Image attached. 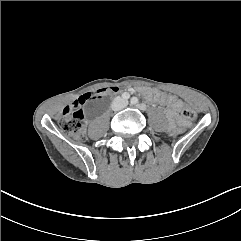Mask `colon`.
Returning a JSON list of instances; mask_svg holds the SVG:
<instances>
[{
    "mask_svg": "<svg viewBox=\"0 0 241 241\" xmlns=\"http://www.w3.org/2000/svg\"><path fill=\"white\" fill-rule=\"evenodd\" d=\"M117 87H105L90 93L83 95L79 102L69 106L64 111L62 117L59 120V126L62 131L69 134L75 139L84 140L86 138V124L84 114L81 109L78 108V104L83 103L87 99L105 96L109 93L115 92ZM182 115L187 120H193L196 118V112L189 106L184 107ZM170 136H184L185 128L181 126H173L169 128Z\"/></svg>",
    "mask_w": 241,
    "mask_h": 241,
    "instance_id": "5ec220e1",
    "label": "colon"
}]
</instances>
